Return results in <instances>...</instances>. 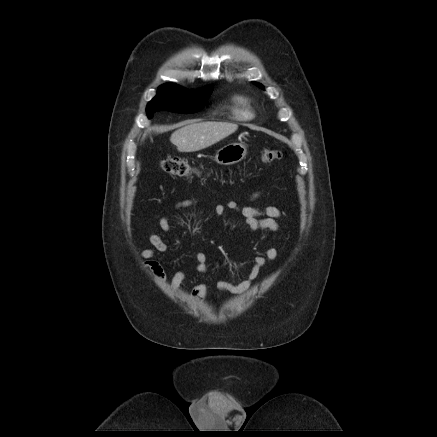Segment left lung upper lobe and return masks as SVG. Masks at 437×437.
<instances>
[{
	"label": "left lung upper lobe",
	"mask_w": 437,
	"mask_h": 437,
	"mask_svg": "<svg viewBox=\"0 0 437 437\" xmlns=\"http://www.w3.org/2000/svg\"><path fill=\"white\" fill-rule=\"evenodd\" d=\"M257 86H259L260 88H262V89H264V87L261 85V84H259V83H255Z\"/></svg>",
	"instance_id": "5c2ea615"
}]
</instances>
